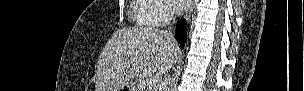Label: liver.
<instances>
[{"label":"liver","instance_id":"1","mask_svg":"<svg viewBox=\"0 0 304 91\" xmlns=\"http://www.w3.org/2000/svg\"><path fill=\"white\" fill-rule=\"evenodd\" d=\"M180 49L153 27L115 31L103 48L95 72V91H120L135 77H158L174 66Z\"/></svg>","mask_w":304,"mask_h":91}]
</instances>
